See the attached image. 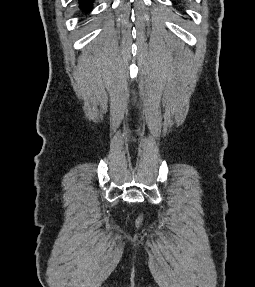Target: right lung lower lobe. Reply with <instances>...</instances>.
<instances>
[{
  "label": "right lung lower lobe",
  "mask_w": 255,
  "mask_h": 287,
  "mask_svg": "<svg viewBox=\"0 0 255 287\" xmlns=\"http://www.w3.org/2000/svg\"><path fill=\"white\" fill-rule=\"evenodd\" d=\"M92 1L93 0H79V2H80V9L82 11L87 12L92 7Z\"/></svg>",
  "instance_id": "right-lung-lower-lobe-1"
}]
</instances>
